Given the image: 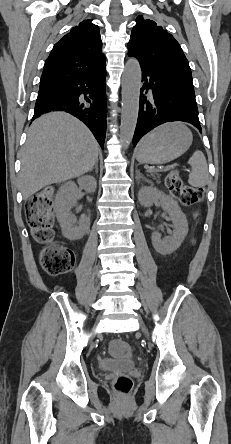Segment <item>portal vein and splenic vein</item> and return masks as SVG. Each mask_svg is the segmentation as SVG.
<instances>
[{
    "label": "portal vein and splenic vein",
    "instance_id": "18ae733b",
    "mask_svg": "<svg viewBox=\"0 0 231 444\" xmlns=\"http://www.w3.org/2000/svg\"><path fill=\"white\" fill-rule=\"evenodd\" d=\"M148 171L149 172H156L157 170L156 169H149Z\"/></svg>",
    "mask_w": 231,
    "mask_h": 444
}]
</instances>
